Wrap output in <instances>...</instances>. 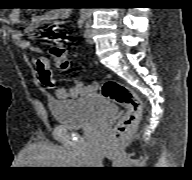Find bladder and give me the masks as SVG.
Returning a JSON list of instances; mask_svg holds the SVG:
<instances>
[{
    "instance_id": "bladder-1",
    "label": "bladder",
    "mask_w": 192,
    "mask_h": 180,
    "mask_svg": "<svg viewBox=\"0 0 192 180\" xmlns=\"http://www.w3.org/2000/svg\"><path fill=\"white\" fill-rule=\"evenodd\" d=\"M48 109L56 123L72 129L88 127L117 112L116 105L101 96L75 100L50 99Z\"/></svg>"
}]
</instances>
